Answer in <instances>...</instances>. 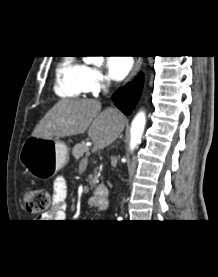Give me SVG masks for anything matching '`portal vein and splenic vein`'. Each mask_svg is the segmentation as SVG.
<instances>
[{"label":"portal vein and splenic vein","instance_id":"portal-vein-and-splenic-vein-1","mask_svg":"<svg viewBox=\"0 0 218 277\" xmlns=\"http://www.w3.org/2000/svg\"><path fill=\"white\" fill-rule=\"evenodd\" d=\"M82 162L86 163V162H87V159H84Z\"/></svg>","mask_w":218,"mask_h":277}]
</instances>
